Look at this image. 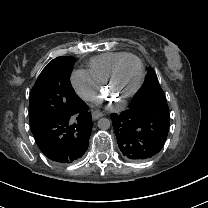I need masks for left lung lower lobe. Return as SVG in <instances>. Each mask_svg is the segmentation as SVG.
<instances>
[{
  "instance_id": "1",
  "label": "left lung lower lobe",
  "mask_w": 208,
  "mask_h": 208,
  "mask_svg": "<svg viewBox=\"0 0 208 208\" xmlns=\"http://www.w3.org/2000/svg\"><path fill=\"white\" fill-rule=\"evenodd\" d=\"M117 143L123 156L141 162L162 149L169 130V119L161 114L129 108L111 114Z\"/></svg>"
}]
</instances>
